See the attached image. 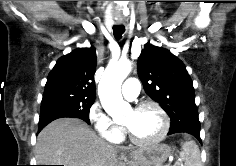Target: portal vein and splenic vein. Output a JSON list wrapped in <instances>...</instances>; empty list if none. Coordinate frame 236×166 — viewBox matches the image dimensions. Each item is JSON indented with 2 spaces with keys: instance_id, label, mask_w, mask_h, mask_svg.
<instances>
[{
  "instance_id": "portal-vein-and-splenic-vein-1",
  "label": "portal vein and splenic vein",
  "mask_w": 236,
  "mask_h": 166,
  "mask_svg": "<svg viewBox=\"0 0 236 166\" xmlns=\"http://www.w3.org/2000/svg\"><path fill=\"white\" fill-rule=\"evenodd\" d=\"M179 165H180V163H178V162H177V163H175V165H174V166H179Z\"/></svg>"
}]
</instances>
